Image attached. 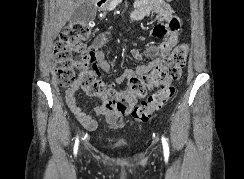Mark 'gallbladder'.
I'll return each mask as SVG.
<instances>
[{"instance_id": "obj_1", "label": "gallbladder", "mask_w": 244, "mask_h": 179, "mask_svg": "<svg viewBox=\"0 0 244 179\" xmlns=\"http://www.w3.org/2000/svg\"><path fill=\"white\" fill-rule=\"evenodd\" d=\"M96 14L97 8H95L93 2L85 0L83 4H80V6L76 8L69 22L70 24H88V22H93V20H95Z\"/></svg>"}]
</instances>
